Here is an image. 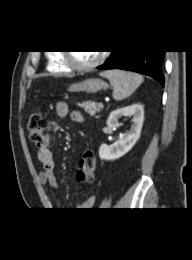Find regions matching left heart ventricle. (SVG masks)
<instances>
[{
    "label": "left heart ventricle",
    "mask_w": 192,
    "mask_h": 260,
    "mask_svg": "<svg viewBox=\"0 0 192 260\" xmlns=\"http://www.w3.org/2000/svg\"><path fill=\"white\" fill-rule=\"evenodd\" d=\"M99 57L95 51H77L72 53L73 60L80 65L90 64Z\"/></svg>",
    "instance_id": "1"
}]
</instances>
